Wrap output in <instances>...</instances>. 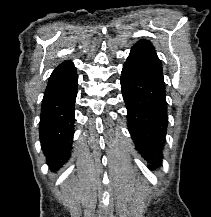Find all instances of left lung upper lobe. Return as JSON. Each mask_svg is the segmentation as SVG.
Returning a JSON list of instances; mask_svg holds the SVG:
<instances>
[{"label": "left lung upper lobe", "instance_id": "obj_1", "mask_svg": "<svg viewBox=\"0 0 211 217\" xmlns=\"http://www.w3.org/2000/svg\"><path fill=\"white\" fill-rule=\"evenodd\" d=\"M125 64L143 73L165 89L162 64L149 41L141 40L134 45Z\"/></svg>", "mask_w": 211, "mask_h": 217}]
</instances>
